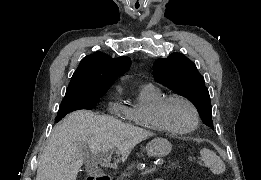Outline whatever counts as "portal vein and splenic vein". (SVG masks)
<instances>
[{"label": "portal vein and splenic vein", "mask_w": 261, "mask_h": 180, "mask_svg": "<svg viewBox=\"0 0 261 180\" xmlns=\"http://www.w3.org/2000/svg\"><path fill=\"white\" fill-rule=\"evenodd\" d=\"M109 152H114V150H109ZM159 167H164V162H159V165H153V168H151V170H143L142 176L156 173V170H159ZM138 178H141V175H138Z\"/></svg>", "instance_id": "18ae733b"}]
</instances>
